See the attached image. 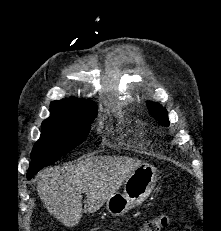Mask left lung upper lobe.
Masks as SVG:
<instances>
[{
    "mask_svg": "<svg viewBox=\"0 0 221 231\" xmlns=\"http://www.w3.org/2000/svg\"><path fill=\"white\" fill-rule=\"evenodd\" d=\"M150 113L164 126H169L168 113L159 104L147 102Z\"/></svg>",
    "mask_w": 221,
    "mask_h": 231,
    "instance_id": "1",
    "label": "left lung upper lobe"
}]
</instances>
